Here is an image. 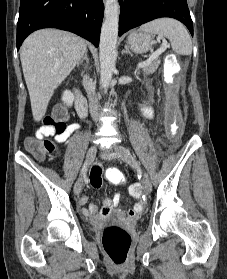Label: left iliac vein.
<instances>
[{
  "label": "left iliac vein",
  "mask_w": 227,
  "mask_h": 279,
  "mask_svg": "<svg viewBox=\"0 0 227 279\" xmlns=\"http://www.w3.org/2000/svg\"><path fill=\"white\" fill-rule=\"evenodd\" d=\"M113 151L116 153L118 157L121 158L124 162L129 164L131 167L136 169L139 173H141V167L135 157L130 153L128 149L125 147L115 145ZM143 189L146 193H150L152 191V185L147 178L143 180Z\"/></svg>",
  "instance_id": "4c4485c4"
}]
</instances>
